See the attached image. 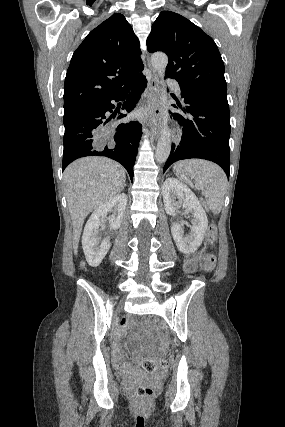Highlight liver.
I'll list each match as a JSON object with an SVG mask.
<instances>
[{
    "mask_svg": "<svg viewBox=\"0 0 285 427\" xmlns=\"http://www.w3.org/2000/svg\"><path fill=\"white\" fill-rule=\"evenodd\" d=\"M125 180L124 168L106 157L80 158L65 169L63 183L73 224L75 254L87 215L113 198Z\"/></svg>",
    "mask_w": 285,
    "mask_h": 427,
    "instance_id": "obj_1",
    "label": "liver"
}]
</instances>
